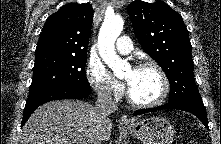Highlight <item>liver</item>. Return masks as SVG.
<instances>
[{
  "label": "liver",
  "mask_w": 221,
  "mask_h": 144,
  "mask_svg": "<svg viewBox=\"0 0 221 144\" xmlns=\"http://www.w3.org/2000/svg\"><path fill=\"white\" fill-rule=\"evenodd\" d=\"M111 132L112 121H100L94 106L58 100L33 112L21 131L20 144H101Z\"/></svg>",
  "instance_id": "6515ba94"
}]
</instances>
